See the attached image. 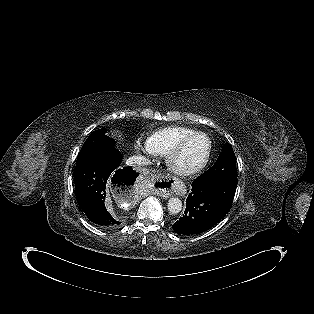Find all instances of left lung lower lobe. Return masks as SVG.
Here are the masks:
<instances>
[{
    "label": "left lung lower lobe",
    "instance_id": "0a47b994",
    "mask_svg": "<svg viewBox=\"0 0 314 314\" xmlns=\"http://www.w3.org/2000/svg\"><path fill=\"white\" fill-rule=\"evenodd\" d=\"M237 184V179H195L174 232L193 235L211 229L230 210Z\"/></svg>",
    "mask_w": 314,
    "mask_h": 314
}]
</instances>
